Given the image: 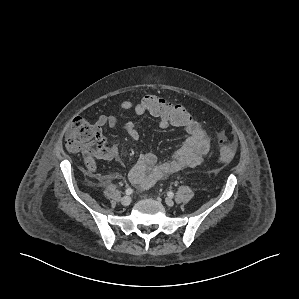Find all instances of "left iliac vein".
I'll list each match as a JSON object with an SVG mask.
<instances>
[{
  "mask_svg": "<svg viewBox=\"0 0 299 299\" xmlns=\"http://www.w3.org/2000/svg\"><path fill=\"white\" fill-rule=\"evenodd\" d=\"M165 202L170 207L174 205V201L171 198H166Z\"/></svg>",
  "mask_w": 299,
  "mask_h": 299,
  "instance_id": "4c4485c4",
  "label": "left iliac vein"
}]
</instances>
